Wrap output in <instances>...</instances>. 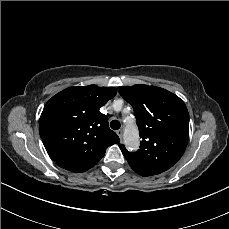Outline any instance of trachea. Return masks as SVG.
<instances>
[{
	"label": "trachea",
	"mask_w": 229,
	"mask_h": 229,
	"mask_svg": "<svg viewBox=\"0 0 229 229\" xmlns=\"http://www.w3.org/2000/svg\"><path fill=\"white\" fill-rule=\"evenodd\" d=\"M120 122L118 120H112L110 122V127L113 129V130H118L120 128Z\"/></svg>",
	"instance_id": "trachea-1"
}]
</instances>
